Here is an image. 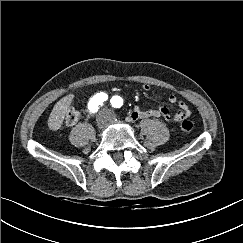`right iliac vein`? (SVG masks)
Instances as JSON below:
<instances>
[{
  "label": "right iliac vein",
  "mask_w": 243,
  "mask_h": 243,
  "mask_svg": "<svg viewBox=\"0 0 243 243\" xmlns=\"http://www.w3.org/2000/svg\"><path fill=\"white\" fill-rule=\"evenodd\" d=\"M107 123V115L105 113H100L96 119V124L99 129H104Z\"/></svg>",
  "instance_id": "63e3f726"
}]
</instances>
